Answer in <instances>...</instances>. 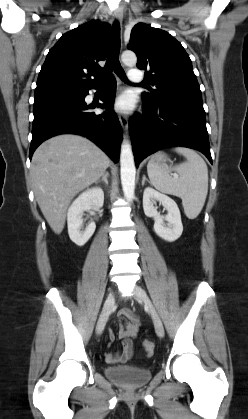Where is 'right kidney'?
<instances>
[{
    "mask_svg": "<svg viewBox=\"0 0 248 419\" xmlns=\"http://www.w3.org/2000/svg\"><path fill=\"white\" fill-rule=\"evenodd\" d=\"M104 203V192L99 187L87 189L71 204L67 213L68 234L70 239L78 246H83L93 235L96 225L91 222L84 231H81L84 211L92 207L101 208Z\"/></svg>",
    "mask_w": 248,
    "mask_h": 419,
    "instance_id": "ca27d5eb",
    "label": "right kidney"
}]
</instances>
